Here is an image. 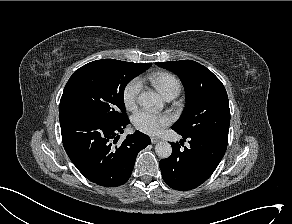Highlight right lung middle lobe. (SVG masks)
I'll list each match as a JSON object with an SVG mask.
<instances>
[{"instance_id": "right-lung-middle-lobe-1", "label": "right lung middle lobe", "mask_w": 292, "mask_h": 224, "mask_svg": "<svg viewBox=\"0 0 292 224\" xmlns=\"http://www.w3.org/2000/svg\"><path fill=\"white\" fill-rule=\"evenodd\" d=\"M144 70L134 63L115 59L90 62L68 80L59 105V113L85 112L108 125L127 120L123 99L126 85Z\"/></svg>"}]
</instances>
